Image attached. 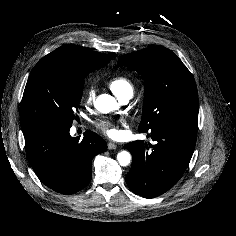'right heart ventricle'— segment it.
Here are the masks:
<instances>
[{"instance_id": "right-heart-ventricle-1", "label": "right heart ventricle", "mask_w": 236, "mask_h": 236, "mask_svg": "<svg viewBox=\"0 0 236 236\" xmlns=\"http://www.w3.org/2000/svg\"><path fill=\"white\" fill-rule=\"evenodd\" d=\"M111 91L120 98L126 94H133L134 85L132 81L123 75H118L108 81Z\"/></svg>"}]
</instances>
